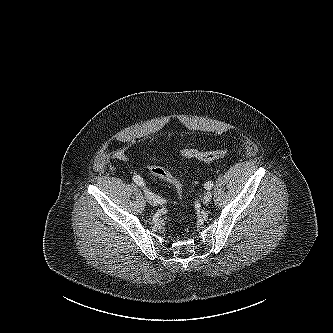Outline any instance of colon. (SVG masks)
Segmentation results:
<instances>
[{"label": "colon", "mask_w": 333, "mask_h": 333, "mask_svg": "<svg viewBox=\"0 0 333 333\" xmlns=\"http://www.w3.org/2000/svg\"><path fill=\"white\" fill-rule=\"evenodd\" d=\"M181 154H182V156H184L186 158H194V159H198L201 161L209 162V161H214V160L224 158L228 154V151L226 149H221V150H216V151H206L205 152V151H199L196 149H185L181 152ZM149 170L153 176L174 186V188L176 189L179 196H181V194H182L181 183L167 169L160 167V166H151Z\"/></svg>", "instance_id": "colon-1"}]
</instances>
